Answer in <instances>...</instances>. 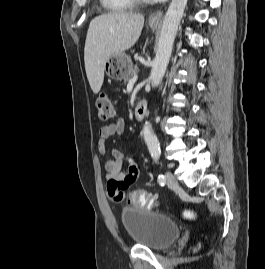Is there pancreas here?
Listing matches in <instances>:
<instances>
[{
	"mask_svg": "<svg viewBox=\"0 0 265 269\" xmlns=\"http://www.w3.org/2000/svg\"><path fill=\"white\" fill-rule=\"evenodd\" d=\"M138 71V67L135 66L134 69L131 71L130 75L126 78V81H130V79L137 75Z\"/></svg>",
	"mask_w": 265,
	"mask_h": 269,
	"instance_id": "pancreas-1",
	"label": "pancreas"
}]
</instances>
